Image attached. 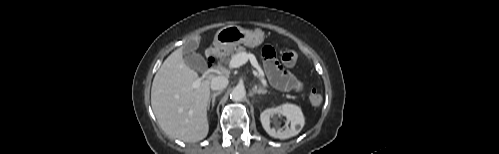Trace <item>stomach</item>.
Wrapping results in <instances>:
<instances>
[{
  "mask_svg": "<svg viewBox=\"0 0 499 154\" xmlns=\"http://www.w3.org/2000/svg\"><path fill=\"white\" fill-rule=\"evenodd\" d=\"M264 41L261 29L246 30L237 25H229L220 29L214 37V46L218 50H229L239 44L254 48Z\"/></svg>",
  "mask_w": 499,
  "mask_h": 154,
  "instance_id": "0dacf381",
  "label": "stomach"
}]
</instances>
